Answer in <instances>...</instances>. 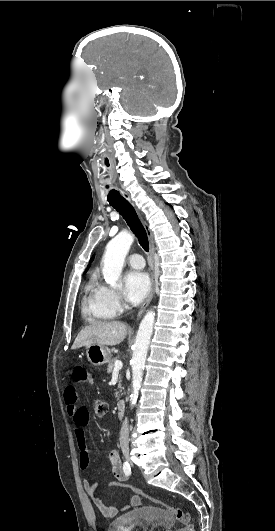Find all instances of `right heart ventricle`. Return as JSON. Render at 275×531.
<instances>
[{
  "mask_svg": "<svg viewBox=\"0 0 275 531\" xmlns=\"http://www.w3.org/2000/svg\"><path fill=\"white\" fill-rule=\"evenodd\" d=\"M82 312L93 322H102L111 318L101 304L100 284L96 276H91L83 289Z\"/></svg>",
  "mask_w": 275,
  "mask_h": 531,
  "instance_id": "right-heart-ventricle-1",
  "label": "right heart ventricle"
}]
</instances>
